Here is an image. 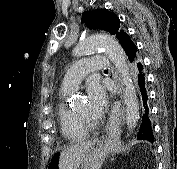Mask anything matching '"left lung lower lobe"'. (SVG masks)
<instances>
[{
    "mask_svg": "<svg viewBox=\"0 0 177 169\" xmlns=\"http://www.w3.org/2000/svg\"><path fill=\"white\" fill-rule=\"evenodd\" d=\"M125 55L127 60L130 63L131 68L133 69L137 85L139 89L140 101L142 106V123L141 128L138 132L137 139L139 140H147L151 143L154 142L153 135V126L149 115V107H148V95L145 87V71L144 66L138 55V48L134 42H130L125 50Z\"/></svg>",
    "mask_w": 177,
    "mask_h": 169,
    "instance_id": "0a47b994",
    "label": "left lung lower lobe"
}]
</instances>
